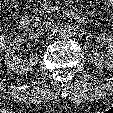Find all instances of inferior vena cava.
<instances>
[{"label": "inferior vena cava", "mask_w": 113, "mask_h": 113, "mask_svg": "<svg viewBox=\"0 0 113 113\" xmlns=\"http://www.w3.org/2000/svg\"><path fill=\"white\" fill-rule=\"evenodd\" d=\"M54 24L51 22L41 23L37 28V31L41 34L49 32L53 29Z\"/></svg>", "instance_id": "inferior-vena-cava-1"}]
</instances>
